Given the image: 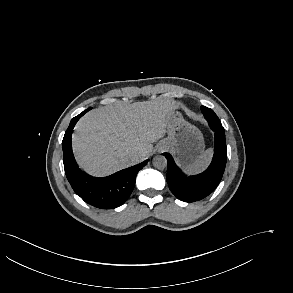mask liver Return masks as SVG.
<instances>
[{
    "label": "liver",
    "mask_w": 293,
    "mask_h": 293,
    "mask_svg": "<svg viewBox=\"0 0 293 293\" xmlns=\"http://www.w3.org/2000/svg\"><path fill=\"white\" fill-rule=\"evenodd\" d=\"M177 108L175 102L156 99L91 110L78 121L73 134L79 164L89 174L105 176L146 159L152 143L164 137L168 116ZM135 154L140 155L139 161Z\"/></svg>",
    "instance_id": "liver-1"
}]
</instances>
